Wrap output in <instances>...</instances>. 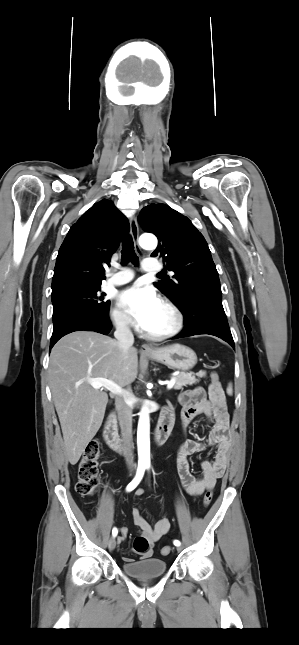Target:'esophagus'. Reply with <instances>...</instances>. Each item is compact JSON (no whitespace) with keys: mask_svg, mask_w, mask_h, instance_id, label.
Here are the masks:
<instances>
[{"mask_svg":"<svg viewBox=\"0 0 299 645\" xmlns=\"http://www.w3.org/2000/svg\"><path fill=\"white\" fill-rule=\"evenodd\" d=\"M130 233H131V236H132V238L134 240L136 250H137L138 253H140L141 250H140V247L138 245L139 229H138V225H137V221H136L135 217H132L130 219ZM154 352H155V349L149 344H143L141 346V353L142 354H151V353H154Z\"/></svg>","mask_w":299,"mask_h":645,"instance_id":"1","label":"esophagus"}]
</instances>
